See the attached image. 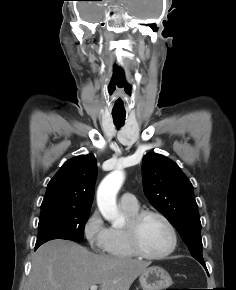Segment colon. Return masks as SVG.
<instances>
[{"instance_id": "obj_1", "label": "colon", "mask_w": 236, "mask_h": 290, "mask_svg": "<svg viewBox=\"0 0 236 290\" xmlns=\"http://www.w3.org/2000/svg\"><path fill=\"white\" fill-rule=\"evenodd\" d=\"M166 290H177V289H171V288H169V289H166Z\"/></svg>"}]
</instances>
